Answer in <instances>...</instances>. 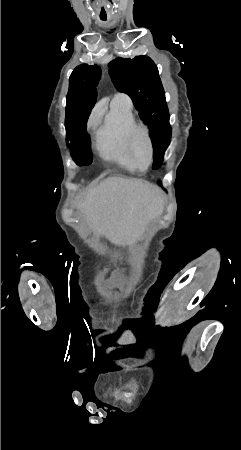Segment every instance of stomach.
I'll return each instance as SVG.
<instances>
[{
    "instance_id": "stomach-1",
    "label": "stomach",
    "mask_w": 241,
    "mask_h": 450,
    "mask_svg": "<svg viewBox=\"0 0 241 450\" xmlns=\"http://www.w3.org/2000/svg\"><path fill=\"white\" fill-rule=\"evenodd\" d=\"M115 280L119 283H123L124 282V278L120 273H116L115 274Z\"/></svg>"
}]
</instances>
